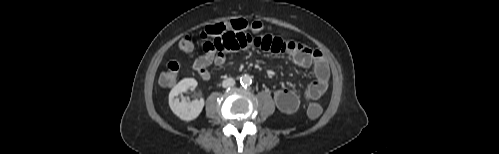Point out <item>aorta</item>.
<instances>
[{
    "label": "aorta",
    "mask_w": 499,
    "mask_h": 154,
    "mask_svg": "<svg viewBox=\"0 0 499 154\" xmlns=\"http://www.w3.org/2000/svg\"><path fill=\"white\" fill-rule=\"evenodd\" d=\"M240 83L241 85L243 86H247V85H250L252 83V78L250 75L248 74H244L240 77Z\"/></svg>",
    "instance_id": "aorta-1"
}]
</instances>
